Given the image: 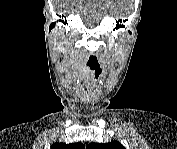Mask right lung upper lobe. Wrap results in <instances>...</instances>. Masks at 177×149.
Listing matches in <instances>:
<instances>
[{
  "instance_id": "1",
  "label": "right lung upper lobe",
  "mask_w": 177,
  "mask_h": 149,
  "mask_svg": "<svg viewBox=\"0 0 177 149\" xmlns=\"http://www.w3.org/2000/svg\"><path fill=\"white\" fill-rule=\"evenodd\" d=\"M51 149H84V145L79 142L73 144L54 143Z\"/></svg>"
}]
</instances>
